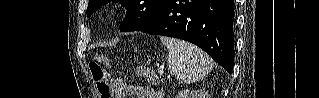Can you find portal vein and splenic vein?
Returning a JSON list of instances; mask_svg holds the SVG:
<instances>
[{
    "instance_id": "portal-vein-and-splenic-vein-1",
    "label": "portal vein and splenic vein",
    "mask_w": 319,
    "mask_h": 98,
    "mask_svg": "<svg viewBox=\"0 0 319 98\" xmlns=\"http://www.w3.org/2000/svg\"><path fill=\"white\" fill-rule=\"evenodd\" d=\"M163 72V70H160L159 73L161 74Z\"/></svg>"
}]
</instances>
